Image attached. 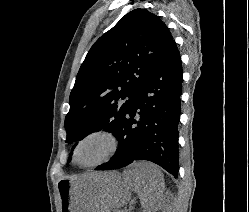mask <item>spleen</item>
<instances>
[{"label": "spleen", "instance_id": "spleen-1", "mask_svg": "<svg viewBox=\"0 0 249 212\" xmlns=\"http://www.w3.org/2000/svg\"><path fill=\"white\" fill-rule=\"evenodd\" d=\"M156 172H157V174H160L159 170H156ZM160 176H162V174H160ZM156 188H157V190H158L157 196H158V198H160V194H159L160 184H157Z\"/></svg>", "mask_w": 249, "mask_h": 212}]
</instances>
